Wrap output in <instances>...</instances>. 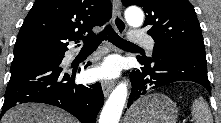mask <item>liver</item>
I'll use <instances>...</instances> for the list:
<instances>
[{"mask_svg":"<svg viewBox=\"0 0 221 123\" xmlns=\"http://www.w3.org/2000/svg\"><path fill=\"white\" fill-rule=\"evenodd\" d=\"M0 123H77V121L59 108L25 103L5 112Z\"/></svg>","mask_w":221,"mask_h":123,"instance_id":"obj_1","label":"liver"}]
</instances>
